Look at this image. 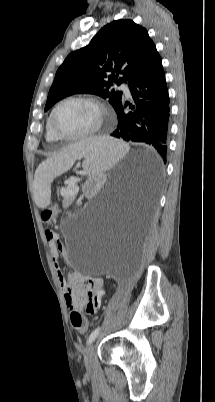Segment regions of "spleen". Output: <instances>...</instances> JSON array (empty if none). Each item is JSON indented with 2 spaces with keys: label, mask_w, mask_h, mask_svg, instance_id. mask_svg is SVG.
<instances>
[{
  "label": "spleen",
  "mask_w": 215,
  "mask_h": 402,
  "mask_svg": "<svg viewBox=\"0 0 215 402\" xmlns=\"http://www.w3.org/2000/svg\"><path fill=\"white\" fill-rule=\"evenodd\" d=\"M129 146L109 137H93L68 147L63 153L43 162L36 172L34 195L38 210L48 209L50 183L56 176L69 170L76 159L85 158L82 167L93 175L97 169H110Z\"/></svg>",
  "instance_id": "spleen-1"
}]
</instances>
